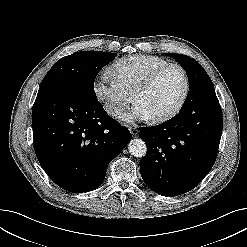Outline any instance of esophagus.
<instances>
[{
  "mask_svg": "<svg viewBox=\"0 0 247 247\" xmlns=\"http://www.w3.org/2000/svg\"><path fill=\"white\" fill-rule=\"evenodd\" d=\"M129 130H130L132 136L136 137L138 135V129L137 128L130 127Z\"/></svg>",
  "mask_w": 247,
  "mask_h": 247,
  "instance_id": "esophagus-1",
  "label": "esophagus"
}]
</instances>
